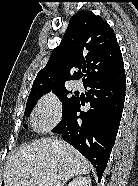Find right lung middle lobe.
<instances>
[{"label":"right lung middle lobe","instance_id":"1","mask_svg":"<svg viewBox=\"0 0 138 186\" xmlns=\"http://www.w3.org/2000/svg\"><path fill=\"white\" fill-rule=\"evenodd\" d=\"M50 91H52L62 100L63 115L66 114V112L73 107V105L75 104L77 100L76 96L68 97V94L71 93V91H68L65 86L57 87V88H53L50 90L37 92V93H30L27 99V104H26L24 115L29 116L32 111V108L34 107L35 103L39 100V98L45 95L46 93H49ZM24 127L27 128L26 125H24Z\"/></svg>","mask_w":138,"mask_h":186}]
</instances>
